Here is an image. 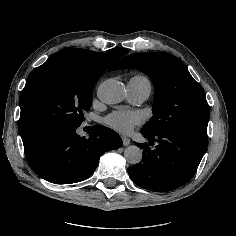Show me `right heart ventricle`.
Here are the masks:
<instances>
[{"label": "right heart ventricle", "mask_w": 236, "mask_h": 236, "mask_svg": "<svg viewBox=\"0 0 236 236\" xmlns=\"http://www.w3.org/2000/svg\"><path fill=\"white\" fill-rule=\"evenodd\" d=\"M130 81L136 86L147 88L151 91V82L145 75L137 74L134 75Z\"/></svg>", "instance_id": "e07e8e85"}]
</instances>
